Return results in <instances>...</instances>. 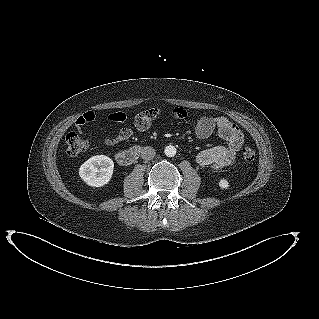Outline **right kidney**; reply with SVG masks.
Returning <instances> with one entry per match:
<instances>
[{"label": "right kidney", "instance_id": "ca27d5eb", "mask_svg": "<svg viewBox=\"0 0 319 319\" xmlns=\"http://www.w3.org/2000/svg\"><path fill=\"white\" fill-rule=\"evenodd\" d=\"M113 169L112 159L105 155H97L81 165L79 175L87 185L101 187L109 183L113 175Z\"/></svg>", "mask_w": 319, "mask_h": 319}]
</instances>
